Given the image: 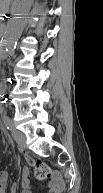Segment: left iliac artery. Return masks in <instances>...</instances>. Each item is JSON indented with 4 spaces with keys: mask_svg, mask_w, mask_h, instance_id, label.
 <instances>
[{
    "mask_svg": "<svg viewBox=\"0 0 103 193\" xmlns=\"http://www.w3.org/2000/svg\"><path fill=\"white\" fill-rule=\"evenodd\" d=\"M3 120H4L5 127L8 130H12L13 129V124H12L11 119L7 115H5Z\"/></svg>",
    "mask_w": 103,
    "mask_h": 193,
    "instance_id": "1",
    "label": "left iliac artery"
}]
</instances>
